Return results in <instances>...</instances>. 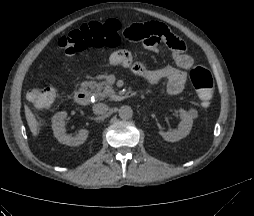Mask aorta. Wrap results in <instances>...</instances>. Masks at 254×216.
Wrapping results in <instances>:
<instances>
[{"instance_id":"aorta-1","label":"aorta","mask_w":254,"mask_h":216,"mask_svg":"<svg viewBox=\"0 0 254 216\" xmlns=\"http://www.w3.org/2000/svg\"><path fill=\"white\" fill-rule=\"evenodd\" d=\"M118 113H119V117L124 120H128V119L132 118V116H133V110L128 105L121 106L119 108Z\"/></svg>"}]
</instances>
